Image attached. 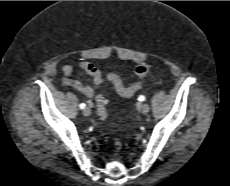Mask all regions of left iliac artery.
I'll return each mask as SVG.
<instances>
[{
	"mask_svg": "<svg viewBox=\"0 0 230 186\" xmlns=\"http://www.w3.org/2000/svg\"><path fill=\"white\" fill-rule=\"evenodd\" d=\"M139 101H144L145 100V97L143 95L139 96L138 98Z\"/></svg>",
	"mask_w": 230,
	"mask_h": 186,
	"instance_id": "left-iliac-artery-1",
	"label": "left iliac artery"
}]
</instances>
